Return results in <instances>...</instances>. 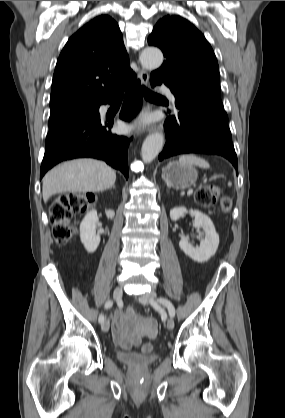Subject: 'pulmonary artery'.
<instances>
[{"instance_id":"1","label":"pulmonary artery","mask_w":285,"mask_h":418,"mask_svg":"<svg viewBox=\"0 0 285 418\" xmlns=\"http://www.w3.org/2000/svg\"><path fill=\"white\" fill-rule=\"evenodd\" d=\"M160 90L169 98L174 99V93L168 87H160Z\"/></svg>"}]
</instances>
